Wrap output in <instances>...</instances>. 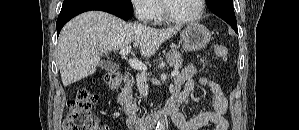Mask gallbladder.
Here are the masks:
<instances>
[{
  "label": "gallbladder",
  "mask_w": 299,
  "mask_h": 130,
  "mask_svg": "<svg viewBox=\"0 0 299 130\" xmlns=\"http://www.w3.org/2000/svg\"><path fill=\"white\" fill-rule=\"evenodd\" d=\"M99 67L105 70H114L117 68V65L109 61H101Z\"/></svg>",
  "instance_id": "gallbladder-1"
}]
</instances>
